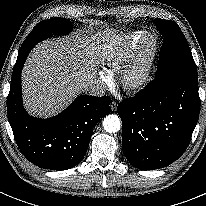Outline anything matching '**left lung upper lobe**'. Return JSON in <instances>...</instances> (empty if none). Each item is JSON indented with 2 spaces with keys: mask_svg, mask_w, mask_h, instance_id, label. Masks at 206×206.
<instances>
[{
  "mask_svg": "<svg viewBox=\"0 0 206 206\" xmlns=\"http://www.w3.org/2000/svg\"><path fill=\"white\" fill-rule=\"evenodd\" d=\"M156 27L164 37L160 50L156 78L168 75L197 77V68L186 38L173 21L155 20Z\"/></svg>",
  "mask_w": 206,
  "mask_h": 206,
  "instance_id": "obj_1",
  "label": "left lung upper lobe"
}]
</instances>
